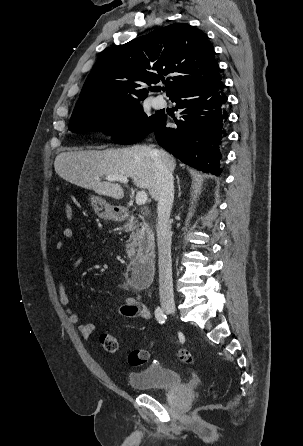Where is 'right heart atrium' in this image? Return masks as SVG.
Listing matches in <instances>:
<instances>
[{"mask_svg":"<svg viewBox=\"0 0 303 446\" xmlns=\"http://www.w3.org/2000/svg\"><path fill=\"white\" fill-rule=\"evenodd\" d=\"M115 130L119 134H126L130 131L132 126V119L129 116H122L115 122Z\"/></svg>","mask_w":303,"mask_h":446,"instance_id":"right-heart-atrium-1","label":"right heart atrium"}]
</instances>
